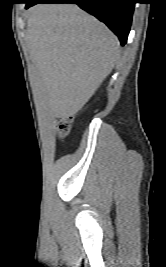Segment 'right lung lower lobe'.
<instances>
[{"instance_id":"right-lung-lower-lobe-1","label":"right lung lower lobe","mask_w":166,"mask_h":267,"mask_svg":"<svg viewBox=\"0 0 166 267\" xmlns=\"http://www.w3.org/2000/svg\"><path fill=\"white\" fill-rule=\"evenodd\" d=\"M26 9L38 3H75L104 22L125 45L135 0H27Z\"/></svg>"}]
</instances>
